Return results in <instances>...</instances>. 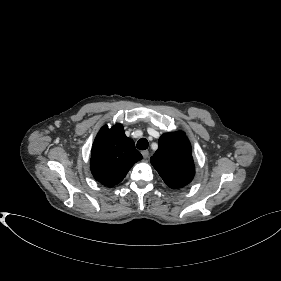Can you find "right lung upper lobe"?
Masks as SVG:
<instances>
[{"instance_id":"cb5924a9","label":"right lung upper lobe","mask_w":281,"mask_h":281,"mask_svg":"<svg viewBox=\"0 0 281 281\" xmlns=\"http://www.w3.org/2000/svg\"><path fill=\"white\" fill-rule=\"evenodd\" d=\"M142 158L133 140L125 135L121 124H115L111 129L104 126L93 143L91 172L97 181L114 186Z\"/></svg>"}]
</instances>
